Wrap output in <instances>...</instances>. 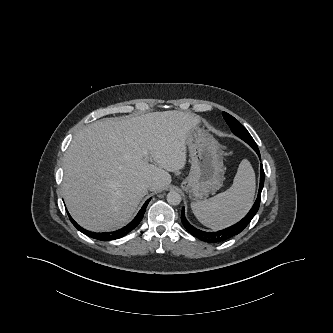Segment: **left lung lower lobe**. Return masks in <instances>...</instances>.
I'll return each instance as SVG.
<instances>
[{
	"instance_id": "1",
	"label": "left lung lower lobe",
	"mask_w": 333,
	"mask_h": 333,
	"mask_svg": "<svg viewBox=\"0 0 333 333\" xmlns=\"http://www.w3.org/2000/svg\"><path fill=\"white\" fill-rule=\"evenodd\" d=\"M252 148L256 151L259 158H261L258 147L253 146ZM263 186H264V170H263V166L261 164L259 191H258V196H257V199H256L253 207L241 221H239L238 223H236L226 229H223V230H220L217 232H205V231L199 230V229L193 227L186 220L185 215H184V208L182 209V213H181L182 224L184 225V227L190 234H192L194 237H196L204 242L219 243V242H223L229 238H232L233 236L242 232L247 227V225L250 223V221L253 219L255 214L257 213L259 206H260L261 192H262Z\"/></svg>"
}]
</instances>
